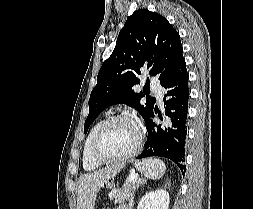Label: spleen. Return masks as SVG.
<instances>
[{"mask_svg":"<svg viewBox=\"0 0 253 209\" xmlns=\"http://www.w3.org/2000/svg\"><path fill=\"white\" fill-rule=\"evenodd\" d=\"M135 167L139 170L145 177L158 180L162 178L166 171V166L163 161L156 158H148L140 162L135 163Z\"/></svg>","mask_w":253,"mask_h":209,"instance_id":"3e777b00","label":"spleen"}]
</instances>
